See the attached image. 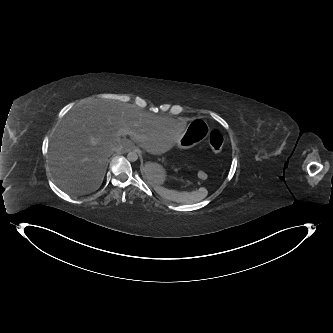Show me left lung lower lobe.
Wrapping results in <instances>:
<instances>
[{
	"instance_id": "left-lung-lower-lobe-1",
	"label": "left lung lower lobe",
	"mask_w": 333,
	"mask_h": 333,
	"mask_svg": "<svg viewBox=\"0 0 333 333\" xmlns=\"http://www.w3.org/2000/svg\"><path fill=\"white\" fill-rule=\"evenodd\" d=\"M145 173H146V175L148 174V169L147 168H145Z\"/></svg>"
}]
</instances>
